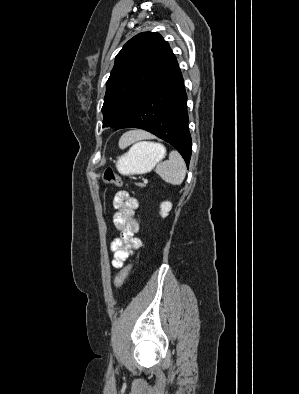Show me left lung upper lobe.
<instances>
[{"instance_id":"obj_1","label":"left lung upper lobe","mask_w":299,"mask_h":394,"mask_svg":"<svg viewBox=\"0 0 299 394\" xmlns=\"http://www.w3.org/2000/svg\"><path fill=\"white\" fill-rule=\"evenodd\" d=\"M175 61L159 33L143 32L130 39L117 54L106 82L103 127L117 126L150 84Z\"/></svg>"}]
</instances>
